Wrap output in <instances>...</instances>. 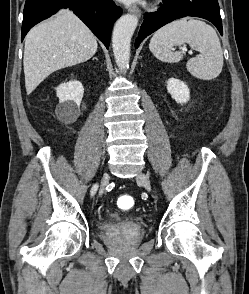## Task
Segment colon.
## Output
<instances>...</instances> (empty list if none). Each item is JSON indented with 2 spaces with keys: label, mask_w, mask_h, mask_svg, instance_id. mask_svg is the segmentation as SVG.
<instances>
[{
  "label": "colon",
  "mask_w": 249,
  "mask_h": 294,
  "mask_svg": "<svg viewBox=\"0 0 249 294\" xmlns=\"http://www.w3.org/2000/svg\"><path fill=\"white\" fill-rule=\"evenodd\" d=\"M118 205L121 209H130L135 205V200L131 196H120L118 198Z\"/></svg>",
  "instance_id": "1"
}]
</instances>
